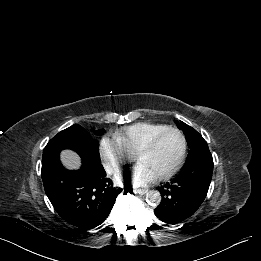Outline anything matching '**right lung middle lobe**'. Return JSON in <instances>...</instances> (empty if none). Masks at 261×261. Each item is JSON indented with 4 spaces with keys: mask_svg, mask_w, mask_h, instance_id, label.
I'll use <instances>...</instances> for the list:
<instances>
[{
    "mask_svg": "<svg viewBox=\"0 0 261 261\" xmlns=\"http://www.w3.org/2000/svg\"><path fill=\"white\" fill-rule=\"evenodd\" d=\"M96 135H101L104 129L95 131L92 129ZM82 140L87 146L89 152L99 159V143L93 140L91 135L80 125H72L67 129L59 132L50 142L46 145L43 151L42 165L49 166L54 161L58 160L59 152L62 149H74L76 141Z\"/></svg>",
    "mask_w": 261,
    "mask_h": 261,
    "instance_id": "obj_1",
    "label": "right lung middle lobe"
}]
</instances>
